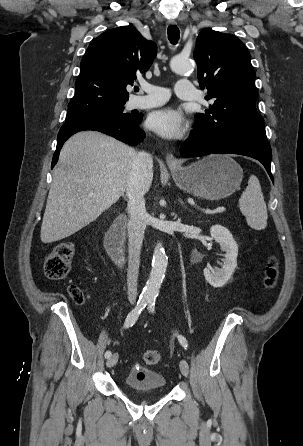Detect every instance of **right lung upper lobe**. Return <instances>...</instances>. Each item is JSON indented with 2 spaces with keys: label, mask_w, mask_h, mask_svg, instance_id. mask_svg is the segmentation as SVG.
I'll return each mask as SVG.
<instances>
[{
  "label": "right lung upper lobe",
  "mask_w": 303,
  "mask_h": 446,
  "mask_svg": "<svg viewBox=\"0 0 303 446\" xmlns=\"http://www.w3.org/2000/svg\"><path fill=\"white\" fill-rule=\"evenodd\" d=\"M157 47L130 26L107 30L89 45L80 63L75 97L68 109L91 110L126 103L127 85L147 71Z\"/></svg>",
  "instance_id": "1"
}]
</instances>
